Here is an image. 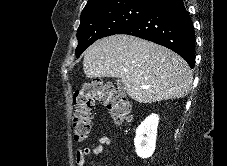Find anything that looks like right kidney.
Wrapping results in <instances>:
<instances>
[{
	"instance_id": "ca27d5eb",
	"label": "right kidney",
	"mask_w": 227,
	"mask_h": 166,
	"mask_svg": "<svg viewBox=\"0 0 227 166\" xmlns=\"http://www.w3.org/2000/svg\"><path fill=\"white\" fill-rule=\"evenodd\" d=\"M158 122L159 116L151 114L136 130L135 151L143 159L151 157L155 151Z\"/></svg>"
}]
</instances>
